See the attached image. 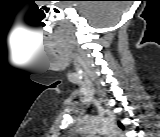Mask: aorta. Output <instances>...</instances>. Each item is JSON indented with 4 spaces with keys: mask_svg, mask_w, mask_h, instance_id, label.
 <instances>
[{
    "mask_svg": "<svg viewBox=\"0 0 160 137\" xmlns=\"http://www.w3.org/2000/svg\"><path fill=\"white\" fill-rule=\"evenodd\" d=\"M94 133L108 135L109 137H123L122 132L117 126L110 122H102L93 130Z\"/></svg>",
    "mask_w": 160,
    "mask_h": 137,
    "instance_id": "762f6f07",
    "label": "aorta"
}]
</instances>
